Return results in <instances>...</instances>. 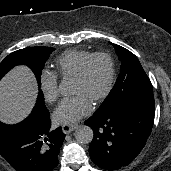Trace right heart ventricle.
Here are the masks:
<instances>
[{"mask_svg":"<svg viewBox=\"0 0 171 171\" xmlns=\"http://www.w3.org/2000/svg\"><path fill=\"white\" fill-rule=\"evenodd\" d=\"M91 54L89 51L77 49L65 51L55 61V74L61 78H72Z\"/></svg>","mask_w":171,"mask_h":171,"instance_id":"right-heart-ventricle-1","label":"right heart ventricle"}]
</instances>
